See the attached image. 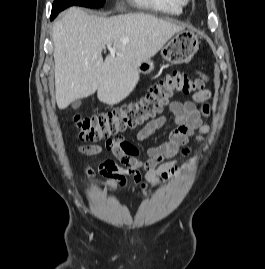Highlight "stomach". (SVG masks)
I'll use <instances>...</instances> for the list:
<instances>
[{"label": "stomach", "mask_w": 265, "mask_h": 269, "mask_svg": "<svg viewBox=\"0 0 265 269\" xmlns=\"http://www.w3.org/2000/svg\"><path fill=\"white\" fill-rule=\"evenodd\" d=\"M199 40L192 31L182 30L176 33L168 43L162 47L163 59L177 65L188 62L198 51ZM154 69V63L150 60L142 61L138 65L139 74H148Z\"/></svg>", "instance_id": "1"}]
</instances>
